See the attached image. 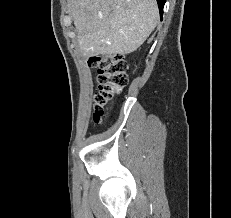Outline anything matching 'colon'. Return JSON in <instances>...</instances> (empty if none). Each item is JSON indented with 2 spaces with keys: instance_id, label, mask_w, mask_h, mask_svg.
<instances>
[{
  "instance_id": "5ec220e1",
  "label": "colon",
  "mask_w": 231,
  "mask_h": 218,
  "mask_svg": "<svg viewBox=\"0 0 231 218\" xmlns=\"http://www.w3.org/2000/svg\"><path fill=\"white\" fill-rule=\"evenodd\" d=\"M89 65L98 72V89L95 93L93 122L98 124L105 115L106 104L127 84V63L122 55H97Z\"/></svg>"
}]
</instances>
